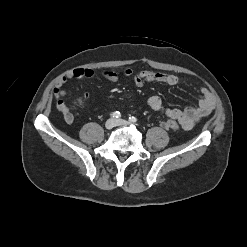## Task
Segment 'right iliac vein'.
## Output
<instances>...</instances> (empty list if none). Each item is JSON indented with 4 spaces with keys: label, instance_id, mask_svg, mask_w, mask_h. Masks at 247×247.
Segmentation results:
<instances>
[{
    "label": "right iliac vein",
    "instance_id": "obj_1",
    "mask_svg": "<svg viewBox=\"0 0 247 247\" xmlns=\"http://www.w3.org/2000/svg\"><path fill=\"white\" fill-rule=\"evenodd\" d=\"M115 126V120L114 119H108L105 123V128L110 130Z\"/></svg>",
    "mask_w": 247,
    "mask_h": 247
}]
</instances>
